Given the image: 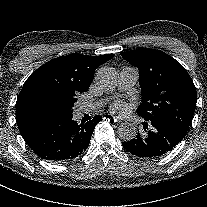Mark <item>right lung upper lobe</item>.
<instances>
[{"label": "right lung upper lobe", "instance_id": "1", "mask_svg": "<svg viewBox=\"0 0 207 207\" xmlns=\"http://www.w3.org/2000/svg\"><path fill=\"white\" fill-rule=\"evenodd\" d=\"M114 54H70L50 60L24 83L16 102V120L22 136L65 119L76 96L89 89L97 67Z\"/></svg>", "mask_w": 207, "mask_h": 207}]
</instances>
